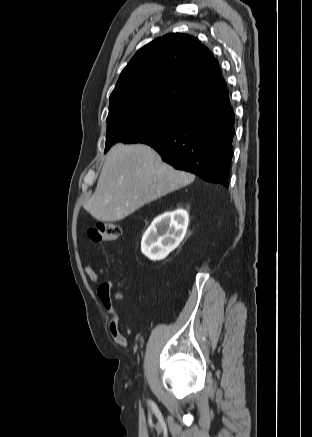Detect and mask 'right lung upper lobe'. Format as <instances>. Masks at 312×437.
<instances>
[{
	"mask_svg": "<svg viewBox=\"0 0 312 437\" xmlns=\"http://www.w3.org/2000/svg\"><path fill=\"white\" fill-rule=\"evenodd\" d=\"M226 84L218 61L196 38L171 33L141 48L110 95L109 112L143 102L193 111L220 98Z\"/></svg>",
	"mask_w": 312,
	"mask_h": 437,
	"instance_id": "cb5924a9",
	"label": "right lung upper lobe"
}]
</instances>
